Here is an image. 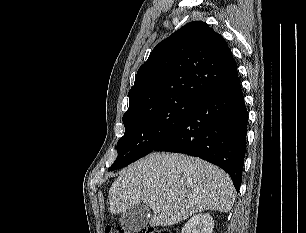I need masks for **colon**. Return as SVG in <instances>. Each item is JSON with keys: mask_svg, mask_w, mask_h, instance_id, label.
Returning a JSON list of instances; mask_svg holds the SVG:
<instances>
[{"mask_svg": "<svg viewBox=\"0 0 306 233\" xmlns=\"http://www.w3.org/2000/svg\"><path fill=\"white\" fill-rule=\"evenodd\" d=\"M105 233H172L169 229L161 228V227H151L146 230H142L139 232L128 231L123 228H116L114 226H108L105 229Z\"/></svg>", "mask_w": 306, "mask_h": 233, "instance_id": "1", "label": "colon"}]
</instances>
